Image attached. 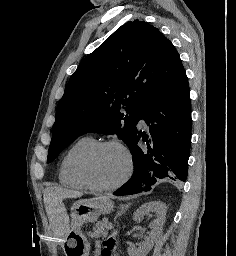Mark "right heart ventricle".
Wrapping results in <instances>:
<instances>
[{
  "label": "right heart ventricle",
  "mask_w": 236,
  "mask_h": 256,
  "mask_svg": "<svg viewBox=\"0 0 236 256\" xmlns=\"http://www.w3.org/2000/svg\"><path fill=\"white\" fill-rule=\"evenodd\" d=\"M96 141L90 136L79 138L63 155L58 171L60 183L68 188L84 190L79 175V166L82 157L95 145Z\"/></svg>",
  "instance_id": "obj_1"
}]
</instances>
